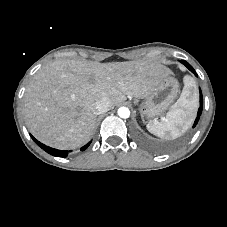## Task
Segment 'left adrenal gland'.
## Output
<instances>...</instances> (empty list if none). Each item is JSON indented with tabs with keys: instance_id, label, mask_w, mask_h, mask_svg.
<instances>
[{
	"instance_id": "left-adrenal-gland-1",
	"label": "left adrenal gland",
	"mask_w": 227,
	"mask_h": 227,
	"mask_svg": "<svg viewBox=\"0 0 227 227\" xmlns=\"http://www.w3.org/2000/svg\"><path fill=\"white\" fill-rule=\"evenodd\" d=\"M142 121L144 122V118L142 117Z\"/></svg>"
}]
</instances>
